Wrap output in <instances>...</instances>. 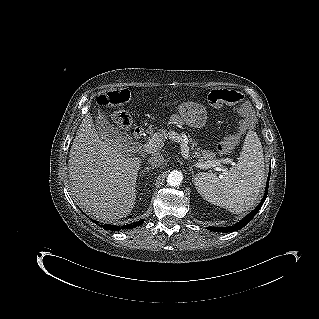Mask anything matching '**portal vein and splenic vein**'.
Here are the masks:
<instances>
[{
	"instance_id": "portal-vein-and-splenic-vein-1",
	"label": "portal vein and splenic vein",
	"mask_w": 319,
	"mask_h": 319,
	"mask_svg": "<svg viewBox=\"0 0 319 319\" xmlns=\"http://www.w3.org/2000/svg\"><path fill=\"white\" fill-rule=\"evenodd\" d=\"M162 138H169L173 141L179 142L181 145V154L182 156L187 159V160H191V157L189 155V147H188V143H187V139L183 138L182 136L178 135L176 132L174 131H163L162 133H157L155 134V136L153 137V139H151L149 142H147L146 144H144L143 148L146 152H152V151H156L159 146H160V142ZM226 162L232 163V160L227 159ZM194 166H196L197 168L200 169H204L207 168L206 164L203 163H199V162H193ZM213 167H216V170L225 172V169H223V167H221V161H217L215 162L213 165Z\"/></svg>"
}]
</instances>
